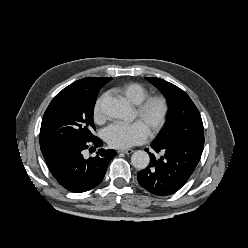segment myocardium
<instances>
[{"mask_svg":"<svg viewBox=\"0 0 248 248\" xmlns=\"http://www.w3.org/2000/svg\"><path fill=\"white\" fill-rule=\"evenodd\" d=\"M153 106H158V114L150 117ZM137 116L148 121V129L151 134L158 132L166 122L169 113V103L163 95H148L137 104Z\"/></svg>","mask_w":248,"mask_h":248,"instance_id":"obj_1","label":"myocardium"}]
</instances>
